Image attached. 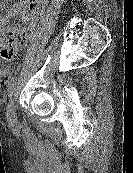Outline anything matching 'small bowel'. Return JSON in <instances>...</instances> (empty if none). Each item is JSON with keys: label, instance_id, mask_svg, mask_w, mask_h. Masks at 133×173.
<instances>
[{"label": "small bowel", "instance_id": "c3829d8e", "mask_svg": "<svg viewBox=\"0 0 133 173\" xmlns=\"http://www.w3.org/2000/svg\"><path fill=\"white\" fill-rule=\"evenodd\" d=\"M4 0L0 1V7ZM49 0H20L14 4L7 12L6 15L0 17V48L6 47L9 44V40L6 36V32L9 35L15 36L19 33V28L17 26H10L5 29V26L12 17L21 16L25 23V28L21 32L23 37V43L20 46L23 47L26 43L27 38L33 32L36 24L40 20L44 8Z\"/></svg>", "mask_w": 133, "mask_h": 173}]
</instances>
